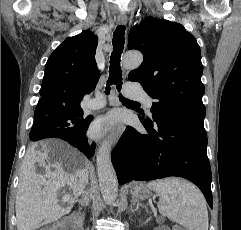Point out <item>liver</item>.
Listing matches in <instances>:
<instances>
[{"mask_svg": "<svg viewBox=\"0 0 241 230\" xmlns=\"http://www.w3.org/2000/svg\"><path fill=\"white\" fill-rule=\"evenodd\" d=\"M51 145L58 161H50L52 151L47 145L41 150L32 145L24 157L15 202L17 230H35L69 213L88 183L87 159L62 141H52ZM36 163L44 167L43 175L35 171ZM66 185L72 196H67L68 207H62L57 191Z\"/></svg>", "mask_w": 241, "mask_h": 230, "instance_id": "1", "label": "liver"}]
</instances>
